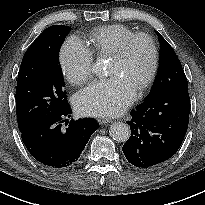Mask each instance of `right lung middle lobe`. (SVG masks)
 <instances>
[{
    "label": "right lung middle lobe",
    "instance_id": "obj_1",
    "mask_svg": "<svg viewBox=\"0 0 205 205\" xmlns=\"http://www.w3.org/2000/svg\"><path fill=\"white\" fill-rule=\"evenodd\" d=\"M69 26L45 29L24 54L16 88V114L20 131L67 103L58 54Z\"/></svg>",
    "mask_w": 205,
    "mask_h": 205
}]
</instances>
